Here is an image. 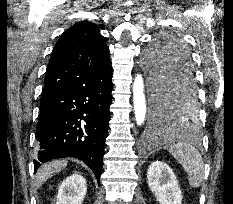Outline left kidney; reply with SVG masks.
<instances>
[{
	"label": "left kidney",
	"instance_id": "1",
	"mask_svg": "<svg viewBox=\"0 0 233 204\" xmlns=\"http://www.w3.org/2000/svg\"><path fill=\"white\" fill-rule=\"evenodd\" d=\"M147 183L160 204H181L182 192L172 169L161 161L153 162L147 171Z\"/></svg>",
	"mask_w": 233,
	"mask_h": 204
}]
</instances>
